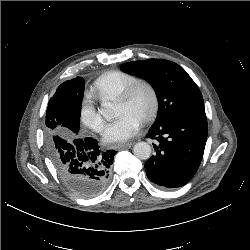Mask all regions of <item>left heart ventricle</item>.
I'll return each mask as SVG.
<instances>
[{"mask_svg":"<svg viewBox=\"0 0 250 250\" xmlns=\"http://www.w3.org/2000/svg\"><path fill=\"white\" fill-rule=\"evenodd\" d=\"M150 103L149 93L141 88L136 91L130 101H117V111L119 115L131 113L141 119V117L148 111Z\"/></svg>","mask_w":250,"mask_h":250,"instance_id":"obj_1","label":"left heart ventricle"}]
</instances>
